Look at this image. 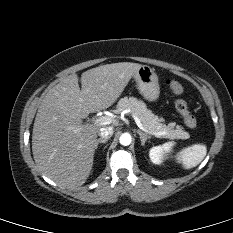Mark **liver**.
Masks as SVG:
<instances>
[{
  "label": "liver",
  "instance_id": "1",
  "mask_svg": "<svg viewBox=\"0 0 233 233\" xmlns=\"http://www.w3.org/2000/svg\"><path fill=\"white\" fill-rule=\"evenodd\" d=\"M142 65L121 62L73 73L49 89L34 121L32 152L45 176L61 186L76 188L89 177L99 124H83L90 113L107 109L120 97Z\"/></svg>",
  "mask_w": 233,
  "mask_h": 233
}]
</instances>
